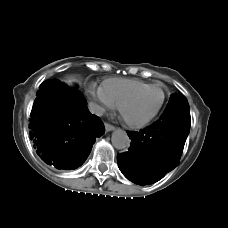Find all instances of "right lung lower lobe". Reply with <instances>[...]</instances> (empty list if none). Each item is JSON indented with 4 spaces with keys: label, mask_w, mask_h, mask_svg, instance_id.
Here are the masks:
<instances>
[{
    "label": "right lung lower lobe",
    "mask_w": 228,
    "mask_h": 228,
    "mask_svg": "<svg viewBox=\"0 0 228 228\" xmlns=\"http://www.w3.org/2000/svg\"><path fill=\"white\" fill-rule=\"evenodd\" d=\"M30 118V139L39 157L57 169H75L105 133L102 121L86 108L83 95L59 80L44 81Z\"/></svg>",
    "instance_id": "98d812e1"
}]
</instances>
